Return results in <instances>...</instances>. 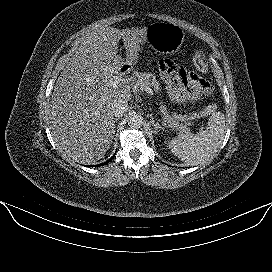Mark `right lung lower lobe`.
Listing matches in <instances>:
<instances>
[{
    "instance_id": "right-lung-lower-lobe-1",
    "label": "right lung lower lobe",
    "mask_w": 272,
    "mask_h": 272,
    "mask_svg": "<svg viewBox=\"0 0 272 272\" xmlns=\"http://www.w3.org/2000/svg\"><path fill=\"white\" fill-rule=\"evenodd\" d=\"M114 157H115V155H114L111 159H109L108 161H106L105 163H103V164H101V165H98V166H102V165L107 164V163L110 162ZM96 166H97V165H96ZM90 167H91V166H90Z\"/></svg>"
}]
</instances>
